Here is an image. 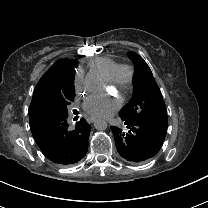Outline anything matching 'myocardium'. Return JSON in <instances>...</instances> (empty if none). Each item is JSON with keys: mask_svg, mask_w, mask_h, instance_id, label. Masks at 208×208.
I'll return each mask as SVG.
<instances>
[{"mask_svg": "<svg viewBox=\"0 0 208 208\" xmlns=\"http://www.w3.org/2000/svg\"><path fill=\"white\" fill-rule=\"evenodd\" d=\"M135 77V69L129 64H122L109 76L105 77V84H115L128 93ZM123 100V99H122Z\"/></svg>", "mask_w": 208, "mask_h": 208, "instance_id": "myocardium-1", "label": "myocardium"}]
</instances>
